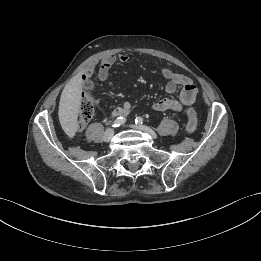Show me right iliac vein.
Listing matches in <instances>:
<instances>
[{
	"label": "right iliac vein",
	"mask_w": 261,
	"mask_h": 261,
	"mask_svg": "<svg viewBox=\"0 0 261 261\" xmlns=\"http://www.w3.org/2000/svg\"><path fill=\"white\" fill-rule=\"evenodd\" d=\"M114 136V130L113 129H108L106 130V132L104 133V141L105 142H110L112 140Z\"/></svg>",
	"instance_id": "1"
}]
</instances>
